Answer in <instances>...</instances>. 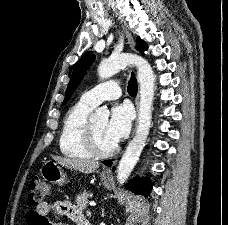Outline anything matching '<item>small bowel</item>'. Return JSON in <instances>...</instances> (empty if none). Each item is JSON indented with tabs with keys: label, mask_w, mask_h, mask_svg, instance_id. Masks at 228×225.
Segmentation results:
<instances>
[{
	"label": "small bowel",
	"mask_w": 228,
	"mask_h": 225,
	"mask_svg": "<svg viewBox=\"0 0 228 225\" xmlns=\"http://www.w3.org/2000/svg\"><path fill=\"white\" fill-rule=\"evenodd\" d=\"M34 212V213H33ZM51 212L71 219L78 223L79 219L83 217L80 210L68 200H59L54 202L43 201L37 205L35 210L27 214L28 225H65L63 223L48 222L47 215ZM78 225V224H77Z\"/></svg>",
	"instance_id": "obj_1"
}]
</instances>
